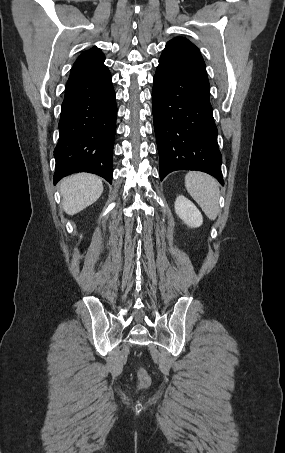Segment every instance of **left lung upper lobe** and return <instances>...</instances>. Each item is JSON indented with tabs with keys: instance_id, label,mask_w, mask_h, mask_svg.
Masks as SVG:
<instances>
[{
	"instance_id": "left-lung-upper-lobe-1",
	"label": "left lung upper lobe",
	"mask_w": 285,
	"mask_h": 453,
	"mask_svg": "<svg viewBox=\"0 0 285 453\" xmlns=\"http://www.w3.org/2000/svg\"><path fill=\"white\" fill-rule=\"evenodd\" d=\"M166 45L179 46L201 56L199 49L193 43L183 37H175L172 40L168 41Z\"/></svg>"
}]
</instances>
